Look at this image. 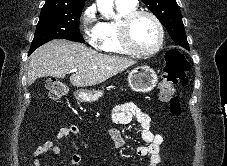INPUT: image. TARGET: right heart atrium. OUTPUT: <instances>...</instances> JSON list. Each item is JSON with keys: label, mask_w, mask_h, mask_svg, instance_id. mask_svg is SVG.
I'll return each instance as SVG.
<instances>
[{"label": "right heart atrium", "mask_w": 227, "mask_h": 166, "mask_svg": "<svg viewBox=\"0 0 227 166\" xmlns=\"http://www.w3.org/2000/svg\"><path fill=\"white\" fill-rule=\"evenodd\" d=\"M80 26L86 41L93 46L98 45L101 32L95 5H90L83 11Z\"/></svg>", "instance_id": "obj_1"}]
</instances>
